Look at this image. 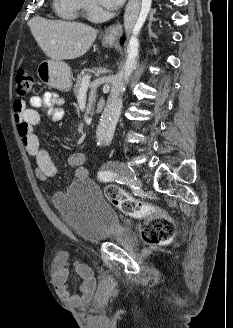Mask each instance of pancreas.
I'll list each match as a JSON object with an SVG mask.
<instances>
[{"label": "pancreas", "instance_id": "pancreas-1", "mask_svg": "<svg viewBox=\"0 0 233 328\" xmlns=\"http://www.w3.org/2000/svg\"><path fill=\"white\" fill-rule=\"evenodd\" d=\"M85 76H88V73L82 72L77 76L76 83H75L74 89H73L75 97H78V95H79L82 80Z\"/></svg>", "mask_w": 233, "mask_h": 328}]
</instances>
